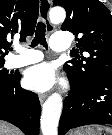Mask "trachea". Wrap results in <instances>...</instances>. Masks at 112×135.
<instances>
[{"mask_svg":"<svg viewBox=\"0 0 112 135\" xmlns=\"http://www.w3.org/2000/svg\"><path fill=\"white\" fill-rule=\"evenodd\" d=\"M47 3L42 2V7H46ZM45 24L40 21L37 24L36 31H35V37L31 43L32 47L37 46L38 44L43 45L45 48H47V42L45 37Z\"/></svg>","mask_w":112,"mask_h":135,"instance_id":"1","label":"trachea"}]
</instances>
